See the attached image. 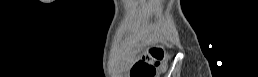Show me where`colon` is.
Segmentation results:
<instances>
[{
    "instance_id": "colon-1",
    "label": "colon",
    "mask_w": 258,
    "mask_h": 77,
    "mask_svg": "<svg viewBox=\"0 0 258 77\" xmlns=\"http://www.w3.org/2000/svg\"><path fill=\"white\" fill-rule=\"evenodd\" d=\"M166 60L167 53L159 47H153L133 66L131 77H156L164 70Z\"/></svg>"
}]
</instances>
